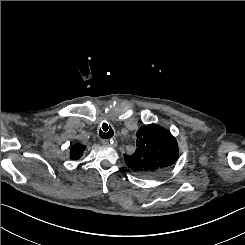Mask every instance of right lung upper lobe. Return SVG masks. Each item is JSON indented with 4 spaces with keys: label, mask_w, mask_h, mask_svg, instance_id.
Wrapping results in <instances>:
<instances>
[{
    "label": "right lung upper lobe",
    "mask_w": 245,
    "mask_h": 245,
    "mask_svg": "<svg viewBox=\"0 0 245 245\" xmlns=\"http://www.w3.org/2000/svg\"><path fill=\"white\" fill-rule=\"evenodd\" d=\"M85 149H86V146L80 143H77L71 146L70 148L71 159L78 160L83 155V152Z\"/></svg>",
    "instance_id": "obj_1"
}]
</instances>
